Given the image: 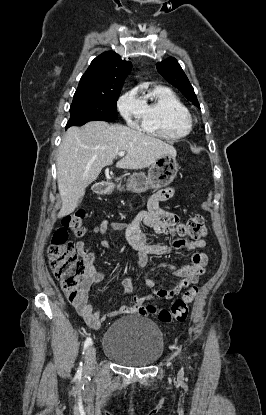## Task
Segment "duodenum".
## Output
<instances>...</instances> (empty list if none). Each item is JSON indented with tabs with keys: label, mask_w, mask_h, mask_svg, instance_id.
<instances>
[{
	"label": "duodenum",
	"mask_w": 266,
	"mask_h": 415,
	"mask_svg": "<svg viewBox=\"0 0 266 415\" xmlns=\"http://www.w3.org/2000/svg\"><path fill=\"white\" fill-rule=\"evenodd\" d=\"M108 182L100 181L94 184L93 191L98 195H103L107 192Z\"/></svg>",
	"instance_id": "duodenum-1"
}]
</instances>
